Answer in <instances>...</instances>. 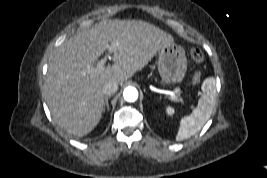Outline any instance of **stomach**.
Here are the masks:
<instances>
[{
	"label": "stomach",
	"instance_id": "stomach-1",
	"mask_svg": "<svg viewBox=\"0 0 267 178\" xmlns=\"http://www.w3.org/2000/svg\"><path fill=\"white\" fill-rule=\"evenodd\" d=\"M158 71L164 85L181 82L187 70L184 49L174 42L159 50Z\"/></svg>",
	"mask_w": 267,
	"mask_h": 178
}]
</instances>
